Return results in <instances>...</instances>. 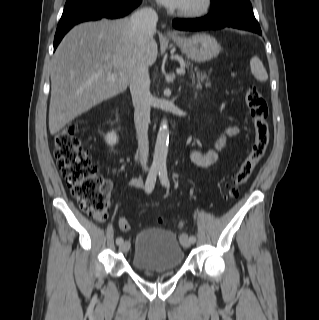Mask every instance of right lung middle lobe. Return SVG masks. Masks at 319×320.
Here are the masks:
<instances>
[{
  "instance_id": "obj_1",
  "label": "right lung middle lobe",
  "mask_w": 319,
  "mask_h": 320,
  "mask_svg": "<svg viewBox=\"0 0 319 320\" xmlns=\"http://www.w3.org/2000/svg\"><path fill=\"white\" fill-rule=\"evenodd\" d=\"M92 1L94 0H67L63 12L74 10Z\"/></svg>"
}]
</instances>
